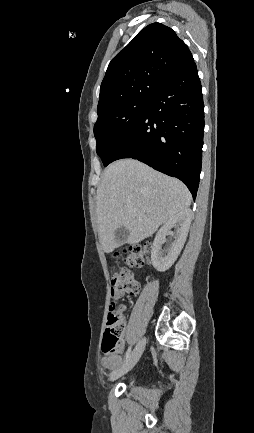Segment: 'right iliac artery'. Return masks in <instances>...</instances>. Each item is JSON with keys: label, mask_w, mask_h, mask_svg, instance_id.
I'll return each instance as SVG.
<instances>
[{"label": "right iliac artery", "mask_w": 254, "mask_h": 433, "mask_svg": "<svg viewBox=\"0 0 254 433\" xmlns=\"http://www.w3.org/2000/svg\"><path fill=\"white\" fill-rule=\"evenodd\" d=\"M130 353H131V347H129L128 350L126 351L125 360L128 359V357L130 356Z\"/></svg>", "instance_id": "1"}]
</instances>
